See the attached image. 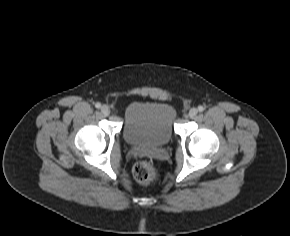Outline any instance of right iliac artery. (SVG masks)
<instances>
[{"label": "right iliac artery", "mask_w": 290, "mask_h": 236, "mask_svg": "<svg viewBox=\"0 0 290 236\" xmlns=\"http://www.w3.org/2000/svg\"><path fill=\"white\" fill-rule=\"evenodd\" d=\"M95 107H96V108H100V107H101V104H100V103H96V104H95Z\"/></svg>", "instance_id": "obj_1"}]
</instances>
